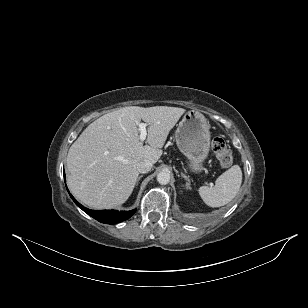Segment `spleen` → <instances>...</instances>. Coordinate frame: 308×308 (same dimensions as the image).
I'll return each mask as SVG.
<instances>
[{
    "instance_id": "3e777b00",
    "label": "spleen",
    "mask_w": 308,
    "mask_h": 308,
    "mask_svg": "<svg viewBox=\"0 0 308 308\" xmlns=\"http://www.w3.org/2000/svg\"><path fill=\"white\" fill-rule=\"evenodd\" d=\"M241 184V168L238 165H234L217 178L214 187L201 186L198 192L206 205L210 207H221L236 197Z\"/></svg>"
}]
</instances>
